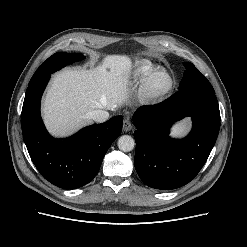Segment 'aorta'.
Returning <instances> with one entry per match:
<instances>
[{
    "instance_id": "obj_1",
    "label": "aorta",
    "mask_w": 247,
    "mask_h": 247,
    "mask_svg": "<svg viewBox=\"0 0 247 247\" xmlns=\"http://www.w3.org/2000/svg\"><path fill=\"white\" fill-rule=\"evenodd\" d=\"M135 147L134 139L129 135H123L118 140V148L123 152L132 151Z\"/></svg>"
}]
</instances>
